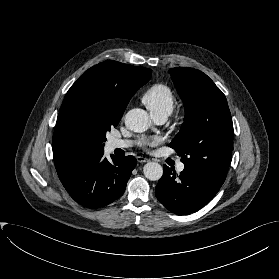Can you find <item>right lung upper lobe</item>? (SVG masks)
<instances>
[{
  "label": "right lung upper lobe",
  "mask_w": 279,
  "mask_h": 279,
  "mask_svg": "<svg viewBox=\"0 0 279 279\" xmlns=\"http://www.w3.org/2000/svg\"><path fill=\"white\" fill-rule=\"evenodd\" d=\"M151 77V70L123 64L113 60L99 63L83 73L68 90L62 103L57 124L67 104L68 97L77 93L94 113L115 120L121 119L134 93ZM53 134V157L55 167L78 159L68 153Z\"/></svg>",
  "instance_id": "cb5924a9"
}]
</instances>
